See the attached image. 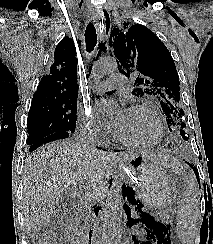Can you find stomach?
Segmentation results:
<instances>
[{
  "mask_svg": "<svg viewBox=\"0 0 213 244\" xmlns=\"http://www.w3.org/2000/svg\"><path fill=\"white\" fill-rule=\"evenodd\" d=\"M162 166V163L140 154L124 173L127 182L135 187L138 197L149 209L167 210L178 198L179 185Z\"/></svg>",
  "mask_w": 213,
  "mask_h": 244,
  "instance_id": "stomach-1",
  "label": "stomach"
}]
</instances>
